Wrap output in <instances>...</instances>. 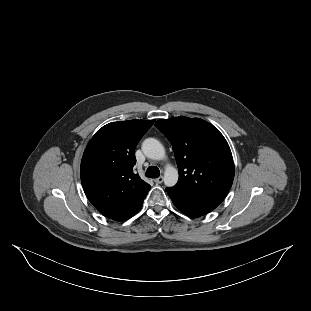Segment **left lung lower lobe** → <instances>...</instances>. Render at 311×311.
<instances>
[{
  "label": "left lung lower lobe",
  "mask_w": 311,
  "mask_h": 311,
  "mask_svg": "<svg viewBox=\"0 0 311 311\" xmlns=\"http://www.w3.org/2000/svg\"><path fill=\"white\" fill-rule=\"evenodd\" d=\"M174 205L190 217H200L214 210L221 202L194 197L184 191L166 188Z\"/></svg>",
  "instance_id": "obj_1"
}]
</instances>
